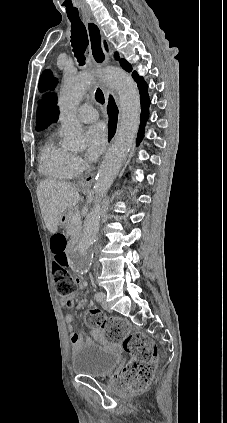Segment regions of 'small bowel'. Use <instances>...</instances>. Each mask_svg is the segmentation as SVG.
<instances>
[{
	"mask_svg": "<svg viewBox=\"0 0 227 423\" xmlns=\"http://www.w3.org/2000/svg\"><path fill=\"white\" fill-rule=\"evenodd\" d=\"M61 305L68 306V307H83L84 301H77L74 296L69 297H61L60 299ZM65 323L67 325V329L69 332H71L70 336V342L73 347H79L83 343V337L80 333H74L73 331V315L68 313L65 315ZM92 335L95 340L103 341L104 340V334L100 329H94L92 331Z\"/></svg>",
	"mask_w": 227,
	"mask_h": 423,
	"instance_id": "small-bowel-1",
	"label": "small bowel"
}]
</instances>
